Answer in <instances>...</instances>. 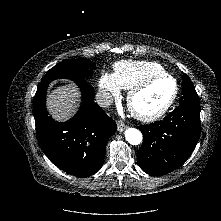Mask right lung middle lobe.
<instances>
[{
	"label": "right lung middle lobe",
	"mask_w": 221,
	"mask_h": 221,
	"mask_svg": "<svg viewBox=\"0 0 221 221\" xmlns=\"http://www.w3.org/2000/svg\"><path fill=\"white\" fill-rule=\"evenodd\" d=\"M95 63L84 59H68L51 68L43 81L51 82L54 79L69 78L73 81L86 79L93 74Z\"/></svg>",
	"instance_id": "obj_1"
}]
</instances>
